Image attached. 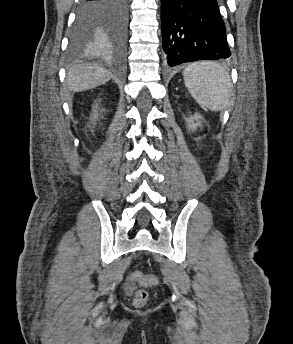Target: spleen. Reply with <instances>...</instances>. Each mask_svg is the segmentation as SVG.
Here are the masks:
<instances>
[{"label":"spleen","mask_w":293,"mask_h":344,"mask_svg":"<svg viewBox=\"0 0 293 344\" xmlns=\"http://www.w3.org/2000/svg\"><path fill=\"white\" fill-rule=\"evenodd\" d=\"M183 77L193 98L213 111L224 109L231 95V79L224 67L212 62L190 64Z\"/></svg>","instance_id":"3e777b00"}]
</instances>
